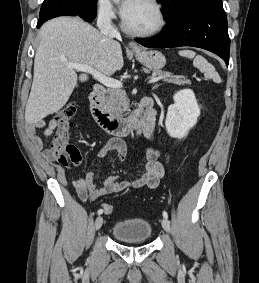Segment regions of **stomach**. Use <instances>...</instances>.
I'll return each mask as SVG.
<instances>
[{
    "mask_svg": "<svg viewBox=\"0 0 259 283\" xmlns=\"http://www.w3.org/2000/svg\"><path fill=\"white\" fill-rule=\"evenodd\" d=\"M134 53L138 61L150 69L159 70L166 64L165 56L160 51L141 49Z\"/></svg>",
    "mask_w": 259,
    "mask_h": 283,
    "instance_id": "0dacf381",
    "label": "stomach"
}]
</instances>
